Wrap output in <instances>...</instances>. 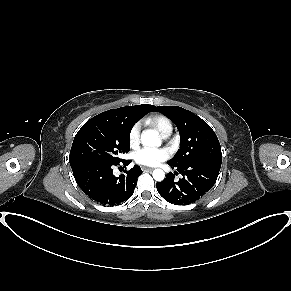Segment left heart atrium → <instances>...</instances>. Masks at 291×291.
<instances>
[{
  "instance_id": "39dd6f15",
  "label": "left heart atrium",
  "mask_w": 291,
  "mask_h": 291,
  "mask_svg": "<svg viewBox=\"0 0 291 291\" xmlns=\"http://www.w3.org/2000/svg\"><path fill=\"white\" fill-rule=\"evenodd\" d=\"M169 152L162 148L143 147L134 153L135 161L139 164L154 166L165 160Z\"/></svg>"
}]
</instances>
